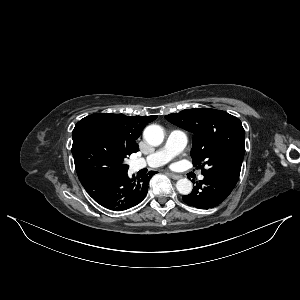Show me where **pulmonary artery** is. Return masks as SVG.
I'll return each mask as SVG.
<instances>
[{
	"instance_id": "pulmonary-artery-1",
	"label": "pulmonary artery",
	"mask_w": 300,
	"mask_h": 300,
	"mask_svg": "<svg viewBox=\"0 0 300 300\" xmlns=\"http://www.w3.org/2000/svg\"><path fill=\"white\" fill-rule=\"evenodd\" d=\"M188 139L186 134L181 130H173L169 133L163 147L156 150L145 158H138L131 162L133 171L140 170L145 167L156 168L166 164L174 156L179 154L187 145ZM204 177L201 175L199 179Z\"/></svg>"
}]
</instances>
